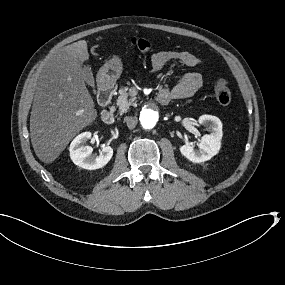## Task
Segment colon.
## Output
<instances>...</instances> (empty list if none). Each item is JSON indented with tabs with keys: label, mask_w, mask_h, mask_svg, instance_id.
I'll return each instance as SVG.
<instances>
[{
	"label": "colon",
	"mask_w": 285,
	"mask_h": 285,
	"mask_svg": "<svg viewBox=\"0 0 285 285\" xmlns=\"http://www.w3.org/2000/svg\"><path fill=\"white\" fill-rule=\"evenodd\" d=\"M130 44L141 52H149L152 49L151 42L142 37H132ZM214 94L221 105H228L233 99V91L231 87H229L222 78H217L214 81Z\"/></svg>",
	"instance_id": "1"
}]
</instances>
